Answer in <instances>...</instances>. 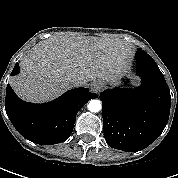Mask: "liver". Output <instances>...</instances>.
<instances>
[{
  "label": "liver",
  "mask_w": 178,
  "mask_h": 178,
  "mask_svg": "<svg viewBox=\"0 0 178 178\" xmlns=\"http://www.w3.org/2000/svg\"><path fill=\"white\" fill-rule=\"evenodd\" d=\"M130 47L121 40L95 37H51L39 42L21 61V73L11 86L24 100H49L73 85L76 77L108 81L127 70Z\"/></svg>",
  "instance_id": "liver-1"
}]
</instances>
